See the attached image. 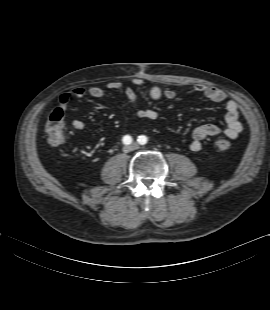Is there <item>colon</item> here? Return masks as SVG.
<instances>
[{"label": "colon", "instance_id": "5ec220e1", "mask_svg": "<svg viewBox=\"0 0 270 310\" xmlns=\"http://www.w3.org/2000/svg\"><path fill=\"white\" fill-rule=\"evenodd\" d=\"M46 133L51 145L56 146L64 141V111L62 109L57 107L52 111L46 124ZM212 145L215 150L223 152L229 150L231 143L220 136L213 139Z\"/></svg>", "mask_w": 270, "mask_h": 310}]
</instances>
